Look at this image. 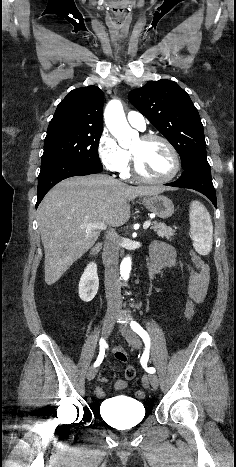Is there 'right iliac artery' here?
I'll list each match as a JSON object with an SVG mask.
<instances>
[{
	"mask_svg": "<svg viewBox=\"0 0 236 467\" xmlns=\"http://www.w3.org/2000/svg\"><path fill=\"white\" fill-rule=\"evenodd\" d=\"M99 345H100V351H99L98 358L94 363V367H97L101 364V362L103 361L104 355H105V348L107 346L106 341L101 338Z\"/></svg>",
	"mask_w": 236,
	"mask_h": 467,
	"instance_id": "1",
	"label": "right iliac artery"
}]
</instances>
